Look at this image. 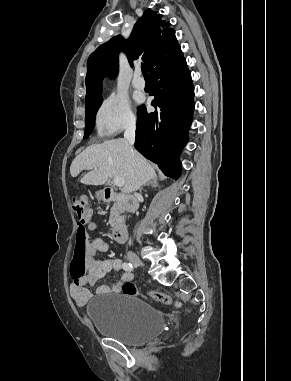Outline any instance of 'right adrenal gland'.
<instances>
[{
  "label": "right adrenal gland",
  "instance_id": "obj_1",
  "mask_svg": "<svg viewBox=\"0 0 291 381\" xmlns=\"http://www.w3.org/2000/svg\"><path fill=\"white\" fill-rule=\"evenodd\" d=\"M145 185H150V186H152V187H156V186H158L157 178L152 179L151 181H149V182L146 183ZM145 185H144V186H145Z\"/></svg>",
  "mask_w": 291,
  "mask_h": 381
}]
</instances>
